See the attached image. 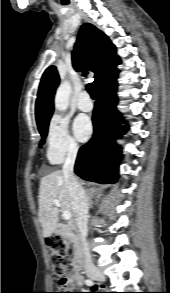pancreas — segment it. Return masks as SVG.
Segmentation results:
<instances>
[{
	"instance_id": "cf45deb5",
	"label": "pancreas",
	"mask_w": 170,
	"mask_h": 293,
	"mask_svg": "<svg viewBox=\"0 0 170 293\" xmlns=\"http://www.w3.org/2000/svg\"><path fill=\"white\" fill-rule=\"evenodd\" d=\"M64 239L67 242L73 243L74 250H77L79 248V239H78V237L76 235H74V234H66V235H64Z\"/></svg>"
}]
</instances>
